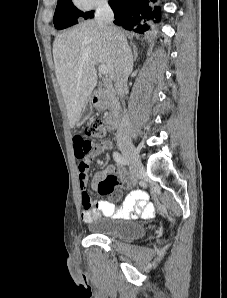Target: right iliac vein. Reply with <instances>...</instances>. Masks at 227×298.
<instances>
[{
    "mask_svg": "<svg viewBox=\"0 0 227 298\" xmlns=\"http://www.w3.org/2000/svg\"><path fill=\"white\" fill-rule=\"evenodd\" d=\"M119 147L131 165L133 181L136 182L143 171V165L138 150L131 142H123Z\"/></svg>",
    "mask_w": 227,
    "mask_h": 298,
    "instance_id": "1",
    "label": "right iliac vein"
}]
</instances>
